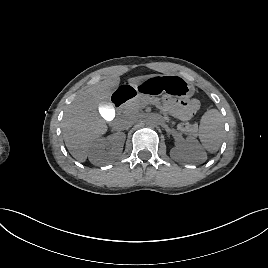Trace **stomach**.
I'll return each mask as SVG.
<instances>
[{
  "label": "stomach",
  "mask_w": 268,
  "mask_h": 268,
  "mask_svg": "<svg viewBox=\"0 0 268 268\" xmlns=\"http://www.w3.org/2000/svg\"><path fill=\"white\" fill-rule=\"evenodd\" d=\"M131 86L138 95L151 96L164 92L177 98L185 99L190 98L194 94L192 83L177 74L148 75Z\"/></svg>",
  "instance_id": "obj_1"
}]
</instances>
